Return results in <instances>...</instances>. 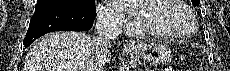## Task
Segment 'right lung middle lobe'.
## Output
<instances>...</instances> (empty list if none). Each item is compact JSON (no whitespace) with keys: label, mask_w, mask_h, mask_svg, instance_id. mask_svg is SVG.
Segmentation results:
<instances>
[{"label":"right lung middle lobe","mask_w":230,"mask_h":71,"mask_svg":"<svg viewBox=\"0 0 230 71\" xmlns=\"http://www.w3.org/2000/svg\"><path fill=\"white\" fill-rule=\"evenodd\" d=\"M42 6H72L95 12L94 0H37L36 9Z\"/></svg>","instance_id":"obj_1"}]
</instances>
